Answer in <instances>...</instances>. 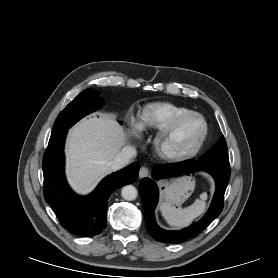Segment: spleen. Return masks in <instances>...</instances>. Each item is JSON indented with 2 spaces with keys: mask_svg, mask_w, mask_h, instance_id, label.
<instances>
[{
  "mask_svg": "<svg viewBox=\"0 0 278 278\" xmlns=\"http://www.w3.org/2000/svg\"><path fill=\"white\" fill-rule=\"evenodd\" d=\"M206 199L207 193L204 192L200 195V199H196L192 205L184 209L176 208L170 202H164L160 206V211L170 226L175 228L185 227L204 213Z\"/></svg>",
  "mask_w": 278,
  "mask_h": 278,
  "instance_id": "obj_1",
  "label": "spleen"
}]
</instances>
